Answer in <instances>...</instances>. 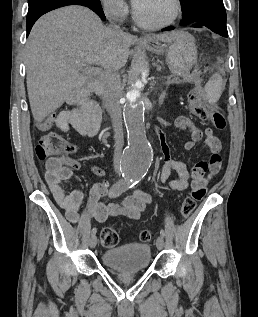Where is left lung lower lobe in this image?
<instances>
[{
    "label": "left lung lower lobe",
    "mask_w": 258,
    "mask_h": 317,
    "mask_svg": "<svg viewBox=\"0 0 258 317\" xmlns=\"http://www.w3.org/2000/svg\"><path fill=\"white\" fill-rule=\"evenodd\" d=\"M182 25H190L196 28L207 27L223 37H228L226 21L220 17L217 9L214 7H206L203 13L197 16L192 23ZM173 29L174 27H169L165 30Z\"/></svg>",
    "instance_id": "left-lung-lower-lobe-1"
}]
</instances>
